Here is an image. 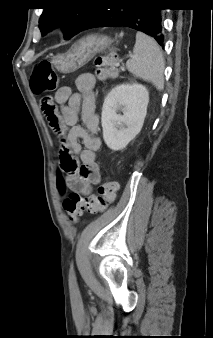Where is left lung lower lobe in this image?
<instances>
[{
    "mask_svg": "<svg viewBox=\"0 0 213 338\" xmlns=\"http://www.w3.org/2000/svg\"><path fill=\"white\" fill-rule=\"evenodd\" d=\"M160 8L153 0H105L88 18L82 30L125 26L142 31L153 37L161 46L164 43V31Z\"/></svg>",
    "mask_w": 213,
    "mask_h": 338,
    "instance_id": "left-lung-lower-lobe-1",
    "label": "left lung lower lobe"
}]
</instances>
